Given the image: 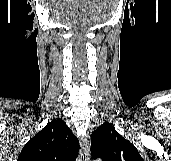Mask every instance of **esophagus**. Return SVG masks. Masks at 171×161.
Listing matches in <instances>:
<instances>
[{
    "label": "esophagus",
    "instance_id": "esophagus-1",
    "mask_svg": "<svg viewBox=\"0 0 171 161\" xmlns=\"http://www.w3.org/2000/svg\"><path fill=\"white\" fill-rule=\"evenodd\" d=\"M79 161H90V147L88 137L81 143Z\"/></svg>",
    "mask_w": 171,
    "mask_h": 161
}]
</instances>
